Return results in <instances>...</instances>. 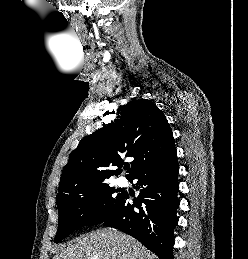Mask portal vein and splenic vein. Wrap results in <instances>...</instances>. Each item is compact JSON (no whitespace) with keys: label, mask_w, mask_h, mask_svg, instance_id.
<instances>
[{"label":"portal vein and splenic vein","mask_w":248,"mask_h":259,"mask_svg":"<svg viewBox=\"0 0 248 259\" xmlns=\"http://www.w3.org/2000/svg\"><path fill=\"white\" fill-rule=\"evenodd\" d=\"M91 259H98V257L97 256H94V257H92ZM106 259V258H105Z\"/></svg>","instance_id":"portal-vein-and-splenic-vein-1"}]
</instances>
